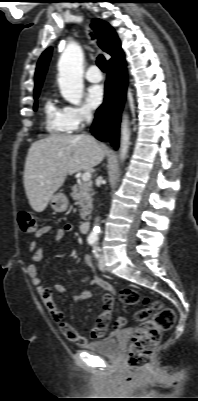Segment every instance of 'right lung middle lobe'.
<instances>
[{
    "mask_svg": "<svg viewBox=\"0 0 198 401\" xmlns=\"http://www.w3.org/2000/svg\"><path fill=\"white\" fill-rule=\"evenodd\" d=\"M38 96H39V93L35 94L34 98L37 99ZM36 109H37V102H35V104H34V110H36Z\"/></svg>",
    "mask_w": 198,
    "mask_h": 401,
    "instance_id": "obj_1",
    "label": "right lung middle lobe"
}]
</instances>
